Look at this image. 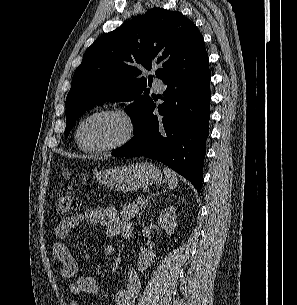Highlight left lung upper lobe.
I'll return each instance as SVG.
<instances>
[{
  "label": "left lung upper lobe",
  "mask_w": 297,
  "mask_h": 305,
  "mask_svg": "<svg viewBox=\"0 0 297 305\" xmlns=\"http://www.w3.org/2000/svg\"><path fill=\"white\" fill-rule=\"evenodd\" d=\"M152 64L159 66L155 75L162 80L175 71L209 67L203 36L182 13L152 8L85 51L66 98L65 137L82 113L107 101L130 102L125 110L136 123L152 99L146 96V79L135 76Z\"/></svg>",
  "instance_id": "obj_1"
}]
</instances>
